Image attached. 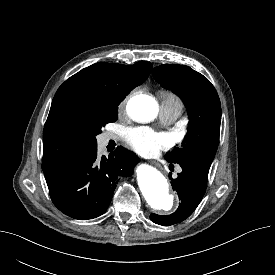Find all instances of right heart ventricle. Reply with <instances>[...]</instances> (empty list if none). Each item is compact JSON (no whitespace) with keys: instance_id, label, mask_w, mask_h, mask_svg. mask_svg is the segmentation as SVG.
<instances>
[{"instance_id":"e07e8e85","label":"right heart ventricle","mask_w":275,"mask_h":275,"mask_svg":"<svg viewBox=\"0 0 275 275\" xmlns=\"http://www.w3.org/2000/svg\"><path fill=\"white\" fill-rule=\"evenodd\" d=\"M160 98L162 101V104H169L174 106H179L182 108V103L179 99V97L172 91H162L160 93Z\"/></svg>"}]
</instances>
